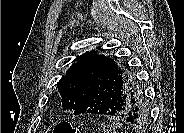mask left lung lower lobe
Instances as JSON below:
<instances>
[{
	"label": "left lung lower lobe",
	"instance_id": "0a47b994",
	"mask_svg": "<svg viewBox=\"0 0 184 133\" xmlns=\"http://www.w3.org/2000/svg\"><path fill=\"white\" fill-rule=\"evenodd\" d=\"M98 66L93 87L88 94V96L96 94V98L88 101L87 96V99L85 98L76 107L74 115L86 113L105 115L123 119L139 127L136 124V115L130 111L137 104L138 97L144 94L140 84L137 85V78L133 75V80L130 79V82L126 83L105 55L100 56Z\"/></svg>",
	"mask_w": 184,
	"mask_h": 133
}]
</instances>
